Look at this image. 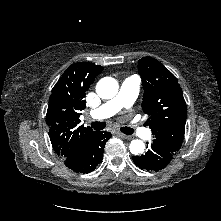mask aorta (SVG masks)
I'll use <instances>...</instances> for the list:
<instances>
[{"label":"aorta","instance_id":"1","mask_svg":"<svg viewBox=\"0 0 221 221\" xmlns=\"http://www.w3.org/2000/svg\"><path fill=\"white\" fill-rule=\"evenodd\" d=\"M118 82L112 77H104L97 83L96 92L102 99H111L118 93ZM130 152L139 155L144 152L145 144L143 141L135 139L130 143Z\"/></svg>","mask_w":221,"mask_h":221}]
</instances>
